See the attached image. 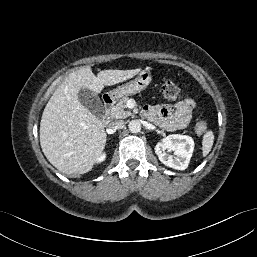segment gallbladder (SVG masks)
<instances>
[{
    "label": "gallbladder",
    "mask_w": 257,
    "mask_h": 257,
    "mask_svg": "<svg viewBox=\"0 0 257 257\" xmlns=\"http://www.w3.org/2000/svg\"><path fill=\"white\" fill-rule=\"evenodd\" d=\"M78 99L96 117L101 118L103 116L104 106L97 94L89 89L82 88L79 90Z\"/></svg>",
    "instance_id": "1"
}]
</instances>
